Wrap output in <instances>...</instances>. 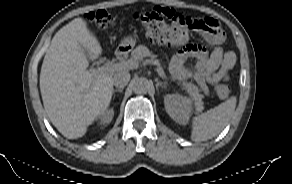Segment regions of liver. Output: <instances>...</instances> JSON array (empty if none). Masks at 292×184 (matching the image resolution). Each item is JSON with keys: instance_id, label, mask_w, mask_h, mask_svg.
Segmentation results:
<instances>
[{"instance_id": "liver-1", "label": "liver", "mask_w": 292, "mask_h": 184, "mask_svg": "<svg viewBox=\"0 0 292 184\" xmlns=\"http://www.w3.org/2000/svg\"><path fill=\"white\" fill-rule=\"evenodd\" d=\"M89 59H97L102 48L83 18H75L53 37L40 72V91L45 111L57 130L69 139L85 135L87 127L110 104L111 72L87 70Z\"/></svg>"}]
</instances>
